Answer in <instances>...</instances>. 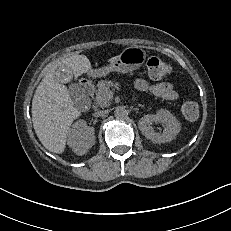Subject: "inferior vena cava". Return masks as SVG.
Wrapping results in <instances>:
<instances>
[{"label": "inferior vena cava", "instance_id": "1", "mask_svg": "<svg viewBox=\"0 0 231 231\" xmlns=\"http://www.w3.org/2000/svg\"><path fill=\"white\" fill-rule=\"evenodd\" d=\"M107 113H108V110H100V111L95 112L93 115L95 117H100V116L106 115Z\"/></svg>", "mask_w": 231, "mask_h": 231}]
</instances>
